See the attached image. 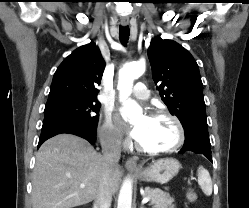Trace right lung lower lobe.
<instances>
[{"mask_svg": "<svg viewBox=\"0 0 249 208\" xmlns=\"http://www.w3.org/2000/svg\"><path fill=\"white\" fill-rule=\"evenodd\" d=\"M96 129L97 127H88L73 121L46 118L43 121L38 147L47 139L61 133L74 134L88 140L90 143H94L96 139Z\"/></svg>", "mask_w": 249, "mask_h": 208, "instance_id": "obj_1", "label": "right lung lower lobe"}]
</instances>
